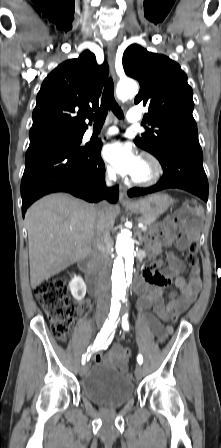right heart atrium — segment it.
<instances>
[{"label": "right heart atrium", "mask_w": 221, "mask_h": 448, "mask_svg": "<svg viewBox=\"0 0 221 448\" xmlns=\"http://www.w3.org/2000/svg\"><path fill=\"white\" fill-rule=\"evenodd\" d=\"M104 178L109 183H112L115 181L116 175L111 167H109V166L106 167L105 172H104Z\"/></svg>", "instance_id": "1"}]
</instances>
